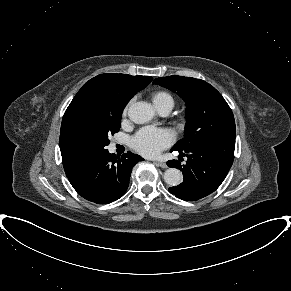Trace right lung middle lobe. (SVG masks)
<instances>
[{
	"label": "right lung middle lobe",
	"instance_id": "dd1d6c3e",
	"mask_svg": "<svg viewBox=\"0 0 291 291\" xmlns=\"http://www.w3.org/2000/svg\"><path fill=\"white\" fill-rule=\"evenodd\" d=\"M123 107L110 98L85 103L62 121L60 149L76 163L106 152L109 135L118 132Z\"/></svg>",
	"mask_w": 291,
	"mask_h": 291
}]
</instances>
